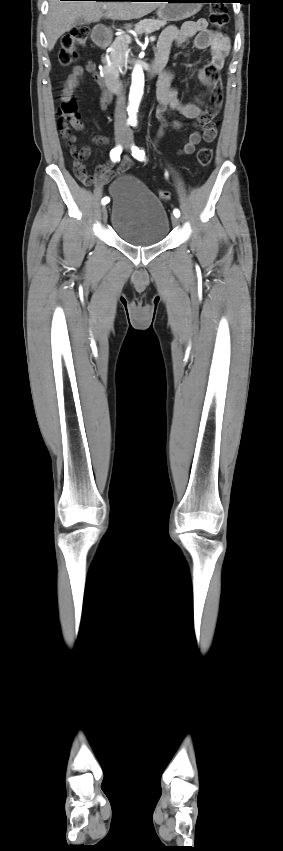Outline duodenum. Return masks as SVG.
<instances>
[{
	"instance_id": "duodenum-1",
	"label": "duodenum",
	"mask_w": 283,
	"mask_h": 851,
	"mask_svg": "<svg viewBox=\"0 0 283 851\" xmlns=\"http://www.w3.org/2000/svg\"><path fill=\"white\" fill-rule=\"evenodd\" d=\"M111 40L110 32L106 29H98L94 33V41L99 47H106L109 45ZM164 67V63L162 61L154 60L152 66V74H156L160 72ZM107 88L112 91V93H118L120 89V82L114 77L108 79Z\"/></svg>"
}]
</instances>
